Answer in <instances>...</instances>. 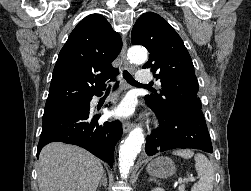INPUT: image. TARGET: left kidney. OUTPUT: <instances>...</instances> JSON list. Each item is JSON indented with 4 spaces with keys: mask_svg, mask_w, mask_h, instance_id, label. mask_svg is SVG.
I'll return each instance as SVG.
<instances>
[{
    "mask_svg": "<svg viewBox=\"0 0 251 191\" xmlns=\"http://www.w3.org/2000/svg\"><path fill=\"white\" fill-rule=\"evenodd\" d=\"M151 191H164L163 187H154Z\"/></svg>",
    "mask_w": 251,
    "mask_h": 191,
    "instance_id": "5707ae66",
    "label": "left kidney"
}]
</instances>
